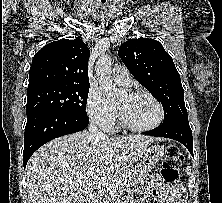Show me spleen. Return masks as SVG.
<instances>
[{"label":"spleen","instance_id":"3e777b00","mask_svg":"<svg viewBox=\"0 0 222 203\" xmlns=\"http://www.w3.org/2000/svg\"><path fill=\"white\" fill-rule=\"evenodd\" d=\"M186 173H187L188 175H190V173H191L190 167H187V168H186Z\"/></svg>","mask_w":222,"mask_h":203}]
</instances>
